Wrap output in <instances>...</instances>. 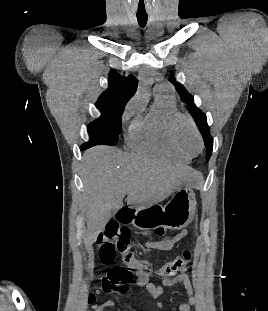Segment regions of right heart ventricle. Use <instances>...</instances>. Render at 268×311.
Returning <instances> with one entry per match:
<instances>
[{"label":"right heart ventricle","instance_id":"right-heart-ventricle-1","mask_svg":"<svg viewBox=\"0 0 268 311\" xmlns=\"http://www.w3.org/2000/svg\"><path fill=\"white\" fill-rule=\"evenodd\" d=\"M177 107L172 97L158 94L151 109L140 112L127 134L128 144L135 150L178 163H189L190 157L179 152L168 134V123Z\"/></svg>","mask_w":268,"mask_h":311}]
</instances>
